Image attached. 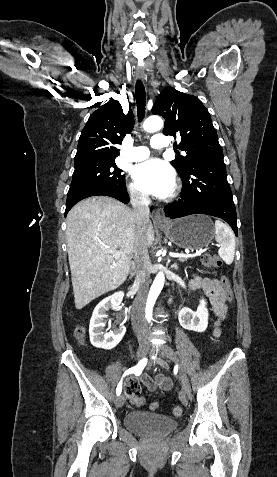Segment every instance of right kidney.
<instances>
[{
  "label": "right kidney",
  "mask_w": 277,
  "mask_h": 477,
  "mask_svg": "<svg viewBox=\"0 0 277 477\" xmlns=\"http://www.w3.org/2000/svg\"><path fill=\"white\" fill-rule=\"evenodd\" d=\"M124 297L122 291L103 299L94 309L90 325L89 334L91 344L97 348L106 350L113 349L123 338L126 328L120 323L119 327L107 333L103 332L105 326L104 319L107 317L106 312L111 309H117Z\"/></svg>",
  "instance_id": "obj_1"
}]
</instances>
